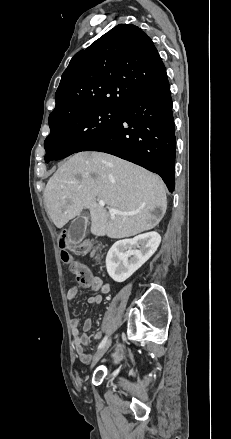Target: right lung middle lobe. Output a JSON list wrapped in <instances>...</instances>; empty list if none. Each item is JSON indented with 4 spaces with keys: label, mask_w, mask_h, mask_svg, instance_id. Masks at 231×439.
Here are the masks:
<instances>
[{
    "label": "right lung middle lobe",
    "mask_w": 231,
    "mask_h": 439,
    "mask_svg": "<svg viewBox=\"0 0 231 439\" xmlns=\"http://www.w3.org/2000/svg\"><path fill=\"white\" fill-rule=\"evenodd\" d=\"M121 110L95 107L49 120L51 133L44 142L45 161L84 151L116 125Z\"/></svg>",
    "instance_id": "right-lung-middle-lobe-1"
}]
</instances>
